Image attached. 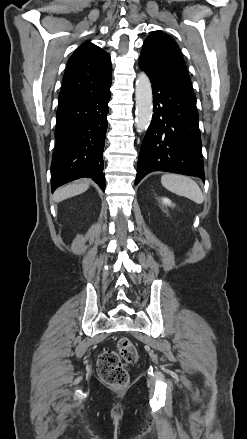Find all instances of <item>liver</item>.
Wrapping results in <instances>:
<instances>
[{
    "instance_id": "1",
    "label": "liver",
    "mask_w": 247,
    "mask_h": 439,
    "mask_svg": "<svg viewBox=\"0 0 247 439\" xmlns=\"http://www.w3.org/2000/svg\"><path fill=\"white\" fill-rule=\"evenodd\" d=\"M89 180H83L79 182L70 183L64 187L57 189L54 193V200L56 202H61L67 198L77 196L85 192L89 188Z\"/></svg>"
}]
</instances>
